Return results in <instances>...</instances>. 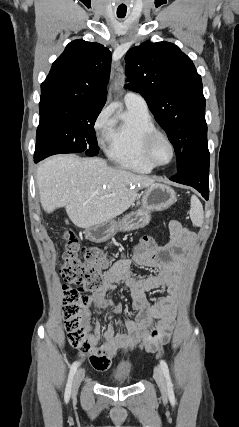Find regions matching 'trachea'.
Segmentation results:
<instances>
[{
  "label": "trachea",
  "mask_w": 239,
  "mask_h": 427,
  "mask_svg": "<svg viewBox=\"0 0 239 427\" xmlns=\"http://www.w3.org/2000/svg\"><path fill=\"white\" fill-rule=\"evenodd\" d=\"M119 18H124V16H118Z\"/></svg>",
  "instance_id": "1"
}]
</instances>
